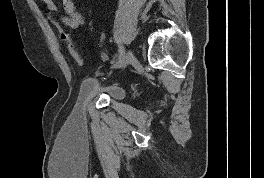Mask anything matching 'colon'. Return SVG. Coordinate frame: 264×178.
<instances>
[{
  "mask_svg": "<svg viewBox=\"0 0 264 178\" xmlns=\"http://www.w3.org/2000/svg\"><path fill=\"white\" fill-rule=\"evenodd\" d=\"M52 24L59 31L61 38L65 42L69 53L79 64H82L84 62V56L74 43L70 34H68L57 21H52Z\"/></svg>",
  "mask_w": 264,
  "mask_h": 178,
  "instance_id": "colon-1",
  "label": "colon"
}]
</instances>
